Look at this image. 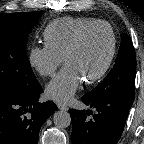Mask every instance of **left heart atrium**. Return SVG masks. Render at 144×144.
Wrapping results in <instances>:
<instances>
[{"mask_svg":"<svg viewBox=\"0 0 144 144\" xmlns=\"http://www.w3.org/2000/svg\"><path fill=\"white\" fill-rule=\"evenodd\" d=\"M83 78L71 65H66L47 85V96L58 102H68L76 93Z\"/></svg>","mask_w":144,"mask_h":144,"instance_id":"1","label":"left heart atrium"}]
</instances>
